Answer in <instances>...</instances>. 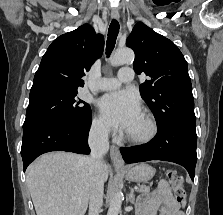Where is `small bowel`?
<instances>
[{"label":"small bowel","instance_id":"1","mask_svg":"<svg viewBox=\"0 0 223 215\" xmlns=\"http://www.w3.org/2000/svg\"><path fill=\"white\" fill-rule=\"evenodd\" d=\"M137 215H184V213L167 183L161 182L153 193L139 199Z\"/></svg>","mask_w":223,"mask_h":215}]
</instances>
